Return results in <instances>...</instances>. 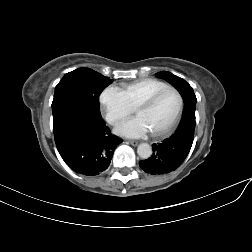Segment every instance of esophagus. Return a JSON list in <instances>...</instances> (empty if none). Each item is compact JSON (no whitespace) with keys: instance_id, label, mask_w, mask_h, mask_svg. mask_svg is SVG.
<instances>
[{"instance_id":"34e87169","label":"esophagus","mask_w":252,"mask_h":252,"mask_svg":"<svg viewBox=\"0 0 252 252\" xmlns=\"http://www.w3.org/2000/svg\"><path fill=\"white\" fill-rule=\"evenodd\" d=\"M129 144H131L132 146H137L138 145V141H128Z\"/></svg>"}]
</instances>
